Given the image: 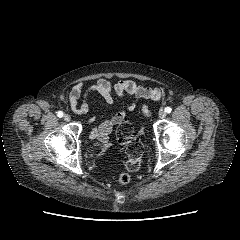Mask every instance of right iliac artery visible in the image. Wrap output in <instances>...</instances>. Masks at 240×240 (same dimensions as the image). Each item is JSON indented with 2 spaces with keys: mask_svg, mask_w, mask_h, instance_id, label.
Masks as SVG:
<instances>
[{
  "mask_svg": "<svg viewBox=\"0 0 240 240\" xmlns=\"http://www.w3.org/2000/svg\"><path fill=\"white\" fill-rule=\"evenodd\" d=\"M63 115H64V113H63L62 111H58V112H57V116H58L59 118H62Z\"/></svg>",
  "mask_w": 240,
  "mask_h": 240,
  "instance_id": "1",
  "label": "right iliac artery"
}]
</instances>
